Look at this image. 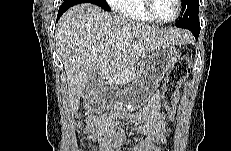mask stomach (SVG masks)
<instances>
[{
    "label": "stomach",
    "instance_id": "obj_1",
    "mask_svg": "<svg viewBox=\"0 0 231 151\" xmlns=\"http://www.w3.org/2000/svg\"><path fill=\"white\" fill-rule=\"evenodd\" d=\"M180 58L173 44L155 48L140 62L135 78L123 90L108 87L104 91L108 103L117 109L135 111L145 105L158 88L165 74Z\"/></svg>",
    "mask_w": 231,
    "mask_h": 151
}]
</instances>
